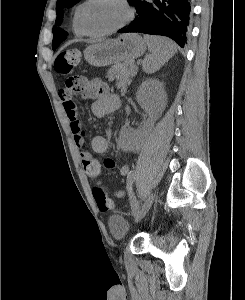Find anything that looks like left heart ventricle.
<instances>
[{"mask_svg":"<svg viewBox=\"0 0 245 300\" xmlns=\"http://www.w3.org/2000/svg\"><path fill=\"white\" fill-rule=\"evenodd\" d=\"M126 11L118 0H94L82 12V23L91 32L104 31L119 24Z\"/></svg>","mask_w":245,"mask_h":300,"instance_id":"b2bd125f","label":"left heart ventricle"}]
</instances>
